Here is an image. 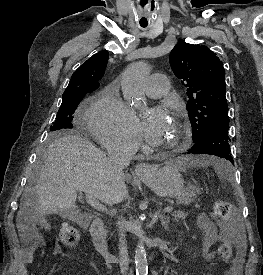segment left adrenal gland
I'll use <instances>...</instances> for the list:
<instances>
[{"label": "left adrenal gland", "mask_w": 263, "mask_h": 275, "mask_svg": "<svg viewBox=\"0 0 263 275\" xmlns=\"http://www.w3.org/2000/svg\"><path fill=\"white\" fill-rule=\"evenodd\" d=\"M158 218H160L161 225H162L165 229H167V228H168V224H169V217H167V216H162V215L160 214V211H158V212H156V213L154 214V217H153L152 221H153V222H157V221H158Z\"/></svg>", "instance_id": "obj_1"}]
</instances>
